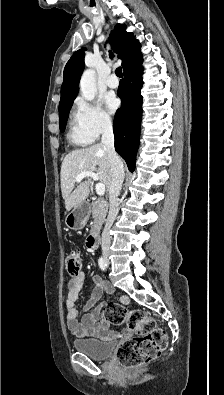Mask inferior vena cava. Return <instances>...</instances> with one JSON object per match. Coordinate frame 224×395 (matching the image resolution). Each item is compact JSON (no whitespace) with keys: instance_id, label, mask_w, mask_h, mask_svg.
<instances>
[{"instance_id":"1","label":"inferior vena cava","mask_w":224,"mask_h":395,"mask_svg":"<svg viewBox=\"0 0 224 395\" xmlns=\"http://www.w3.org/2000/svg\"><path fill=\"white\" fill-rule=\"evenodd\" d=\"M102 145L106 148L111 167V184L109 188V213L102 232L101 248L103 254L109 252L111 245L110 230L119 211L118 196L124 180V166L114 148V134L111 121L102 123Z\"/></svg>"}]
</instances>
